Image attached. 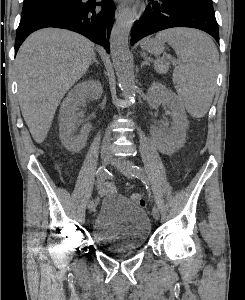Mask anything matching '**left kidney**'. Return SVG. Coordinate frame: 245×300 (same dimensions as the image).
I'll return each mask as SVG.
<instances>
[{
    "instance_id": "1",
    "label": "left kidney",
    "mask_w": 245,
    "mask_h": 300,
    "mask_svg": "<svg viewBox=\"0 0 245 300\" xmlns=\"http://www.w3.org/2000/svg\"><path fill=\"white\" fill-rule=\"evenodd\" d=\"M149 106L156 109L163 104L167 106L173 117L172 128L159 127L156 130L157 143L167 153L180 148L186 137L188 126L185 109L178 97L161 83H153L147 92Z\"/></svg>"
}]
</instances>
